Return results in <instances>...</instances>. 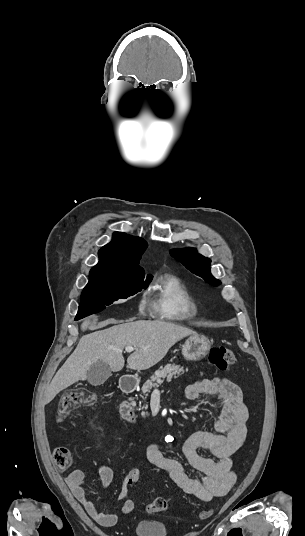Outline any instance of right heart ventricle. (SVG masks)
Returning <instances> with one entry per match:
<instances>
[{
    "mask_svg": "<svg viewBox=\"0 0 305 536\" xmlns=\"http://www.w3.org/2000/svg\"><path fill=\"white\" fill-rule=\"evenodd\" d=\"M150 298L165 319L191 320L198 314L197 306L188 290L174 276H158L150 288Z\"/></svg>",
    "mask_w": 305,
    "mask_h": 536,
    "instance_id": "e07e8e85",
    "label": "right heart ventricle"
}]
</instances>
